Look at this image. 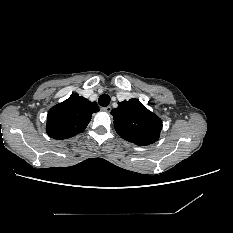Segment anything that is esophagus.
<instances>
[{
    "label": "esophagus",
    "instance_id": "esophagus-1",
    "mask_svg": "<svg viewBox=\"0 0 233 233\" xmlns=\"http://www.w3.org/2000/svg\"><path fill=\"white\" fill-rule=\"evenodd\" d=\"M111 106H107V107H102V110L107 112V113H110L111 112Z\"/></svg>",
    "mask_w": 233,
    "mask_h": 233
}]
</instances>
